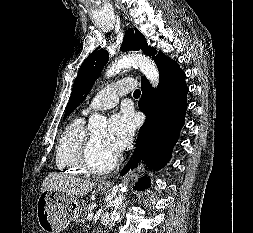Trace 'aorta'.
Listing matches in <instances>:
<instances>
[{
    "label": "aorta",
    "instance_id": "obj_1",
    "mask_svg": "<svg viewBox=\"0 0 253 233\" xmlns=\"http://www.w3.org/2000/svg\"><path fill=\"white\" fill-rule=\"evenodd\" d=\"M135 67L139 68L140 71L145 75V77L150 81L153 87H156L159 82V72L154 62L147 56L142 54H132L122 57L121 59L115 61L107 69L105 75L106 77H112L118 74L122 69ZM107 125V120L102 115L93 114L90 116L88 121V129L90 131H96L98 129H104ZM128 179L126 178L121 184H119V193L113 201V209L111 212V220L109 224V229L114 226L115 222L119 218V209L122 206L124 200V193L127 190Z\"/></svg>",
    "mask_w": 253,
    "mask_h": 233
}]
</instances>
